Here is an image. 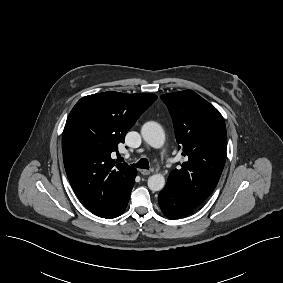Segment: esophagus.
Listing matches in <instances>:
<instances>
[{"instance_id": "34e87169", "label": "esophagus", "mask_w": 283, "mask_h": 283, "mask_svg": "<svg viewBox=\"0 0 283 283\" xmlns=\"http://www.w3.org/2000/svg\"><path fill=\"white\" fill-rule=\"evenodd\" d=\"M139 171L144 176H147V175H149L151 173V171L147 170V169H140Z\"/></svg>"}]
</instances>
